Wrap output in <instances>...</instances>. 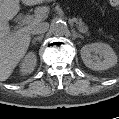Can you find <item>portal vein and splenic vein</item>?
<instances>
[{"instance_id":"1","label":"portal vein and splenic vein","mask_w":119,"mask_h":119,"mask_svg":"<svg viewBox=\"0 0 119 119\" xmlns=\"http://www.w3.org/2000/svg\"><path fill=\"white\" fill-rule=\"evenodd\" d=\"M35 18H33L32 16H26L23 20H22V25H25V24H30L34 21ZM76 19H72V21H75Z\"/></svg>"}]
</instances>
